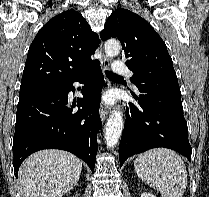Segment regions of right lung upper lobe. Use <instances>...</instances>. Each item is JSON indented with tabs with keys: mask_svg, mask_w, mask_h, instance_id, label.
Wrapping results in <instances>:
<instances>
[{
	"mask_svg": "<svg viewBox=\"0 0 209 197\" xmlns=\"http://www.w3.org/2000/svg\"><path fill=\"white\" fill-rule=\"evenodd\" d=\"M98 45V35L80 13L67 10L58 14L34 38L20 90L62 86L98 62L91 60Z\"/></svg>",
	"mask_w": 209,
	"mask_h": 197,
	"instance_id": "right-lung-upper-lobe-1",
	"label": "right lung upper lobe"
}]
</instances>
